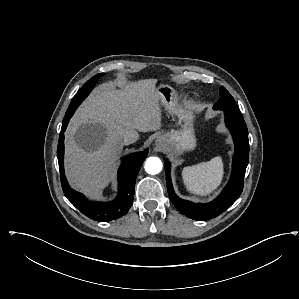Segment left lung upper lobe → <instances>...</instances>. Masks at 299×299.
I'll use <instances>...</instances> for the list:
<instances>
[{"mask_svg": "<svg viewBox=\"0 0 299 299\" xmlns=\"http://www.w3.org/2000/svg\"><path fill=\"white\" fill-rule=\"evenodd\" d=\"M213 108L215 110H228L235 114H241L233 97L223 86L220 88V99L215 103Z\"/></svg>", "mask_w": 299, "mask_h": 299, "instance_id": "obj_1", "label": "left lung upper lobe"}]
</instances>
